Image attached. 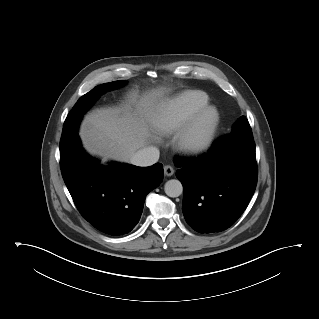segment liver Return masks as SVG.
Masks as SVG:
<instances>
[{
    "mask_svg": "<svg viewBox=\"0 0 319 319\" xmlns=\"http://www.w3.org/2000/svg\"><path fill=\"white\" fill-rule=\"evenodd\" d=\"M164 90H154L143 97L136 91L127 95L120 106L94 110L84 118L79 135L84 148L92 155L129 162L148 144L151 128L160 120ZM132 106H135L133 111Z\"/></svg>",
    "mask_w": 319,
    "mask_h": 319,
    "instance_id": "6515ba94",
    "label": "liver"
}]
</instances>
